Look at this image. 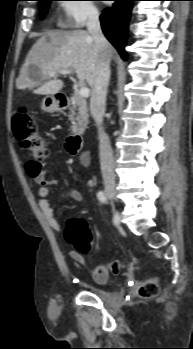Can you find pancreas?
Listing matches in <instances>:
<instances>
[{
    "instance_id": "pancreas-1",
    "label": "pancreas",
    "mask_w": 193,
    "mask_h": 349,
    "mask_svg": "<svg viewBox=\"0 0 193 349\" xmlns=\"http://www.w3.org/2000/svg\"><path fill=\"white\" fill-rule=\"evenodd\" d=\"M72 106L69 108V119L72 122V132H84L88 124V108L84 97L79 93L71 97Z\"/></svg>"
}]
</instances>
